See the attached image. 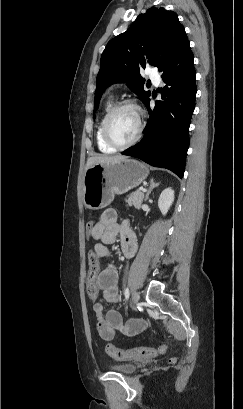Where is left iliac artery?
<instances>
[{"instance_id":"obj_1","label":"left iliac artery","mask_w":243,"mask_h":409,"mask_svg":"<svg viewBox=\"0 0 243 409\" xmlns=\"http://www.w3.org/2000/svg\"><path fill=\"white\" fill-rule=\"evenodd\" d=\"M129 294H130L129 288H126L125 291H124V295H125L126 300L129 298Z\"/></svg>"}]
</instances>
